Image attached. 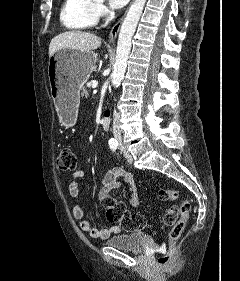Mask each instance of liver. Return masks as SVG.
I'll list each match as a JSON object with an SVG mask.
<instances>
[{
  "mask_svg": "<svg viewBox=\"0 0 240 281\" xmlns=\"http://www.w3.org/2000/svg\"><path fill=\"white\" fill-rule=\"evenodd\" d=\"M101 38L95 34L73 30L55 36L49 45V57L60 49H73L79 51H92L99 48Z\"/></svg>",
  "mask_w": 240,
  "mask_h": 281,
  "instance_id": "1",
  "label": "liver"
}]
</instances>
